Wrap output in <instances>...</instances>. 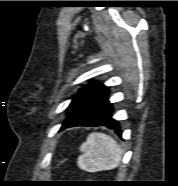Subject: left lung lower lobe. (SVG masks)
<instances>
[{
	"label": "left lung lower lobe",
	"instance_id": "obj_1",
	"mask_svg": "<svg viewBox=\"0 0 178 186\" xmlns=\"http://www.w3.org/2000/svg\"><path fill=\"white\" fill-rule=\"evenodd\" d=\"M113 106L109 101L104 100L101 103L95 105L84 113L76 117L72 122L64 126L61 130L75 126H105L121 136L122 131L117 120L113 118Z\"/></svg>",
	"mask_w": 178,
	"mask_h": 186
}]
</instances>
